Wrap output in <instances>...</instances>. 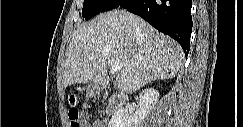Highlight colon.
Masks as SVG:
<instances>
[{
	"label": "colon",
	"instance_id": "obj_1",
	"mask_svg": "<svg viewBox=\"0 0 243 127\" xmlns=\"http://www.w3.org/2000/svg\"><path fill=\"white\" fill-rule=\"evenodd\" d=\"M69 121L71 127H84V120L81 111L76 106V97L71 95L69 97Z\"/></svg>",
	"mask_w": 243,
	"mask_h": 127
}]
</instances>
